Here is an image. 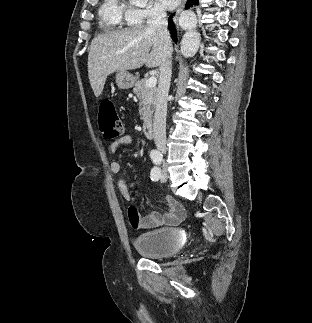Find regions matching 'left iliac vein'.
Segmentation results:
<instances>
[{"instance_id": "1", "label": "left iliac vein", "mask_w": 312, "mask_h": 323, "mask_svg": "<svg viewBox=\"0 0 312 323\" xmlns=\"http://www.w3.org/2000/svg\"><path fill=\"white\" fill-rule=\"evenodd\" d=\"M159 180L162 182H165L167 180V169L165 165L162 168V172L160 174Z\"/></svg>"}]
</instances>
